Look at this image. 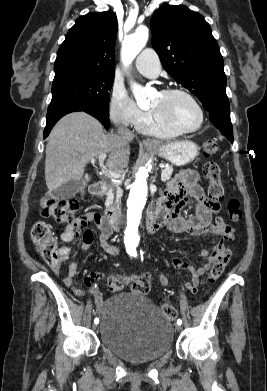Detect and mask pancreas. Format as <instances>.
I'll return each mask as SVG.
<instances>
[{
  "label": "pancreas",
  "instance_id": "cf45deb5",
  "mask_svg": "<svg viewBox=\"0 0 267 391\" xmlns=\"http://www.w3.org/2000/svg\"><path fill=\"white\" fill-rule=\"evenodd\" d=\"M173 172L172 166L165 167L161 172V180L167 181L171 178ZM106 201L105 205L107 208L115 207L119 203V200L122 196V189L120 188V182H109L108 188L106 191Z\"/></svg>",
  "mask_w": 267,
  "mask_h": 391
}]
</instances>
